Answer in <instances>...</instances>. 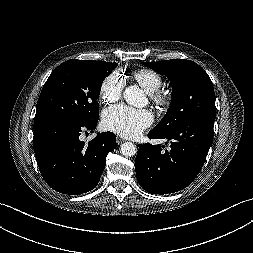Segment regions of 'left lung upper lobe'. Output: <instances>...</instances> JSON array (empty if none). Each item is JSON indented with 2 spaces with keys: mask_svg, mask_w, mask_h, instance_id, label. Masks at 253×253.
I'll use <instances>...</instances> for the list:
<instances>
[{
  "mask_svg": "<svg viewBox=\"0 0 253 253\" xmlns=\"http://www.w3.org/2000/svg\"><path fill=\"white\" fill-rule=\"evenodd\" d=\"M142 64L166 75L172 86L170 107L153 130L168 134L184 123L199 119L215 120L214 88L210 77L201 66L180 59Z\"/></svg>",
  "mask_w": 253,
  "mask_h": 253,
  "instance_id": "left-lung-upper-lobe-1",
  "label": "left lung upper lobe"
}]
</instances>
